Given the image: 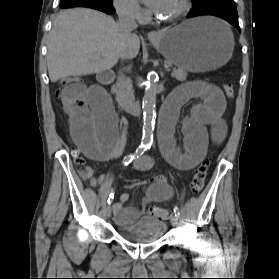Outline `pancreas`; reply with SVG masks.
Returning <instances> with one entry per match:
<instances>
[{
    "label": "pancreas",
    "mask_w": 279,
    "mask_h": 279,
    "mask_svg": "<svg viewBox=\"0 0 279 279\" xmlns=\"http://www.w3.org/2000/svg\"><path fill=\"white\" fill-rule=\"evenodd\" d=\"M166 63L171 64L169 61H166ZM171 76L178 81H185L187 73L182 69H173ZM113 90L117 101L120 103L129 102L134 99L132 81L123 74L119 75Z\"/></svg>",
    "instance_id": "cf45deb5"
}]
</instances>
